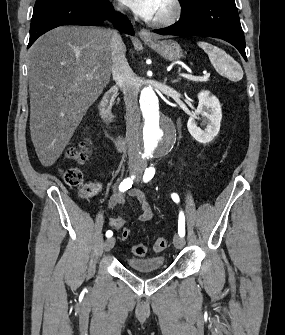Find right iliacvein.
<instances>
[{"mask_svg": "<svg viewBox=\"0 0 285 335\" xmlns=\"http://www.w3.org/2000/svg\"><path fill=\"white\" fill-rule=\"evenodd\" d=\"M115 244V238H109L106 240L105 245H104V251L108 252L110 251Z\"/></svg>", "mask_w": 285, "mask_h": 335, "instance_id": "63e3f726", "label": "right iliac vein"}]
</instances>
